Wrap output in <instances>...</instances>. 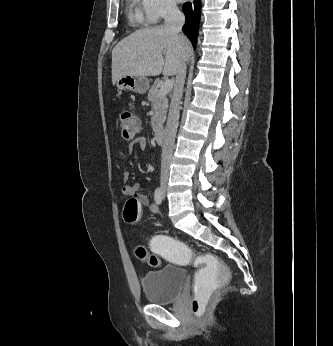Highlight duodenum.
<instances>
[{
    "label": "duodenum",
    "instance_id": "duodenum-1",
    "mask_svg": "<svg viewBox=\"0 0 333 346\" xmlns=\"http://www.w3.org/2000/svg\"><path fill=\"white\" fill-rule=\"evenodd\" d=\"M154 137L157 143L162 144L164 142V131L162 129H156Z\"/></svg>",
    "mask_w": 333,
    "mask_h": 346
}]
</instances>
